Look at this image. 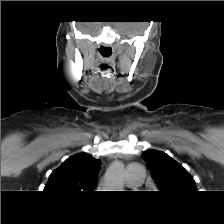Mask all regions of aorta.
I'll use <instances>...</instances> for the list:
<instances>
[{
	"instance_id": "obj_1",
	"label": "aorta",
	"mask_w": 224,
	"mask_h": 224,
	"mask_svg": "<svg viewBox=\"0 0 224 224\" xmlns=\"http://www.w3.org/2000/svg\"><path fill=\"white\" fill-rule=\"evenodd\" d=\"M124 168L122 163L115 161L107 170L106 173V188L107 191H120L123 188Z\"/></svg>"
}]
</instances>
